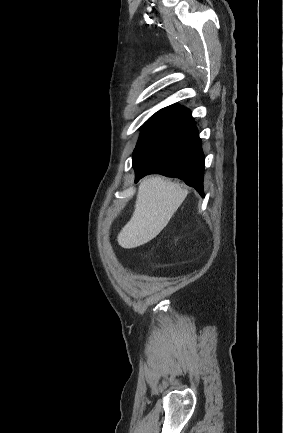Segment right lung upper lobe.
Listing matches in <instances>:
<instances>
[{
    "label": "right lung upper lobe",
    "instance_id": "right-lung-upper-lobe-1",
    "mask_svg": "<svg viewBox=\"0 0 283 433\" xmlns=\"http://www.w3.org/2000/svg\"><path fill=\"white\" fill-rule=\"evenodd\" d=\"M174 107H176V105H172V106H169V107L163 108V109H161L160 111H158L156 114L162 115V114H164L165 112H167V111L173 109Z\"/></svg>",
    "mask_w": 283,
    "mask_h": 433
}]
</instances>
